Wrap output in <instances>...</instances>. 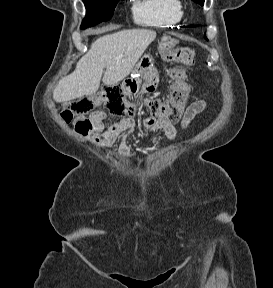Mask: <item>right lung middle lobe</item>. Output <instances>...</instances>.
<instances>
[{
    "label": "right lung middle lobe",
    "mask_w": 273,
    "mask_h": 288,
    "mask_svg": "<svg viewBox=\"0 0 273 288\" xmlns=\"http://www.w3.org/2000/svg\"><path fill=\"white\" fill-rule=\"evenodd\" d=\"M119 0H83L86 7V17L82 22L81 29L95 26L109 20Z\"/></svg>",
    "instance_id": "dd1d6c3e"
}]
</instances>
